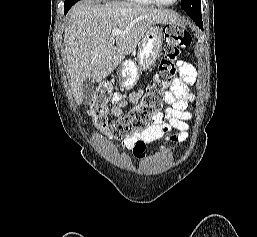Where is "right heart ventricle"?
I'll return each mask as SVG.
<instances>
[{"mask_svg":"<svg viewBox=\"0 0 257 237\" xmlns=\"http://www.w3.org/2000/svg\"><path fill=\"white\" fill-rule=\"evenodd\" d=\"M127 2L135 3V4H141V5H153V0H124Z\"/></svg>","mask_w":257,"mask_h":237,"instance_id":"1","label":"right heart ventricle"}]
</instances>
